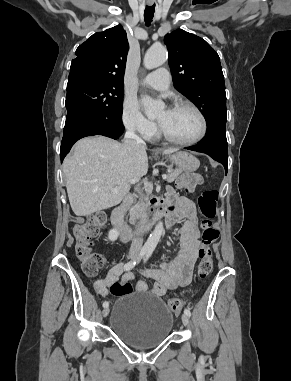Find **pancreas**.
Instances as JSON below:
<instances>
[{
    "mask_svg": "<svg viewBox=\"0 0 291 381\" xmlns=\"http://www.w3.org/2000/svg\"><path fill=\"white\" fill-rule=\"evenodd\" d=\"M181 173V170H173V169H168V174H167V182H173L178 176L179 174ZM146 194H147V197L151 194V190L148 189L146 190ZM137 205H134L133 208L130 210V221H133L135 216H136V213H137Z\"/></svg>",
    "mask_w": 291,
    "mask_h": 381,
    "instance_id": "1",
    "label": "pancreas"
}]
</instances>
